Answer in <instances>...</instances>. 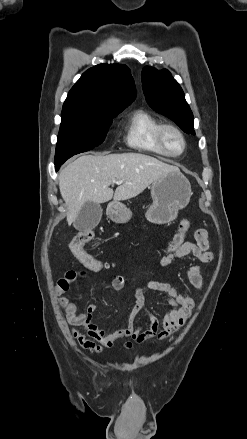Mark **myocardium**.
<instances>
[{"label": "myocardium", "mask_w": 247, "mask_h": 439, "mask_svg": "<svg viewBox=\"0 0 247 439\" xmlns=\"http://www.w3.org/2000/svg\"><path fill=\"white\" fill-rule=\"evenodd\" d=\"M167 131H173L181 139L182 148L179 152H172L168 149V147L165 143V133ZM156 141H157L158 145L160 146V148L163 150V152L166 155L172 156V157H177V156H180L181 154H183L184 151L186 150V146H187V142H186V139H185L183 132L176 125L171 124V123H161L158 126L157 131H156Z\"/></svg>", "instance_id": "1"}]
</instances>
